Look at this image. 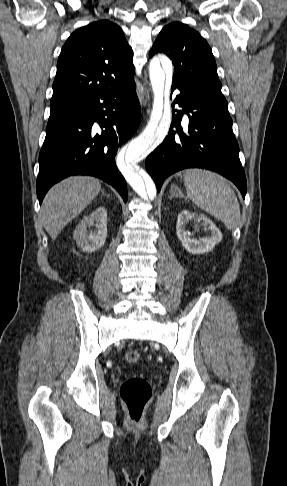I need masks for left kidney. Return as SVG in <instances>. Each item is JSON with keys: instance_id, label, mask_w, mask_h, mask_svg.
<instances>
[{"instance_id": "left-kidney-1", "label": "left kidney", "mask_w": 287, "mask_h": 486, "mask_svg": "<svg viewBox=\"0 0 287 486\" xmlns=\"http://www.w3.org/2000/svg\"><path fill=\"white\" fill-rule=\"evenodd\" d=\"M193 220L194 222H202L207 226L211 235L200 239L190 237V233L186 231V225ZM176 234L181 241L184 249L191 254H204L211 251L216 244L222 240V233L217 226L204 215L192 213L188 210H183L179 213L176 225Z\"/></svg>"}]
</instances>
